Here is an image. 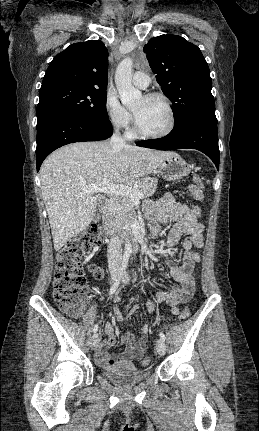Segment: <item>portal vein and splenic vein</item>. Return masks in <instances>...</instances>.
Instances as JSON below:
<instances>
[{
  "mask_svg": "<svg viewBox=\"0 0 259 431\" xmlns=\"http://www.w3.org/2000/svg\"><path fill=\"white\" fill-rule=\"evenodd\" d=\"M82 191L84 193L104 192L107 194L120 195L122 197L131 198L135 201L144 198V193L136 188L125 185H112L106 182L85 186Z\"/></svg>",
  "mask_w": 259,
  "mask_h": 431,
  "instance_id": "obj_1",
  "label": "portal vein and splenic vein"
}]
</instances>
